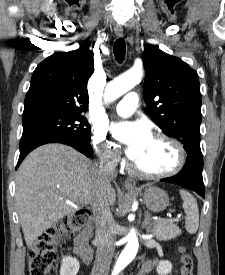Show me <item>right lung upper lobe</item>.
<instances>
[{
	"instance_id": "right-lung-upper-lobe-1",
	"label": "right lung upper lobe",
	"mask_w": 225,
	"mask_h": 275,
	"mask_svg": "<svg viewBox=\"0 0 225 275\" xmlns=\"http://www.w3.org/2000/svg\"><path fill=\"white\" fill-rule=\"evenodd\" d=\"M87 45L57 52L35 69L24 102L23 116L41 112L86 111L87 82L94 72Z\"/></svg>"
}]
</instances>
